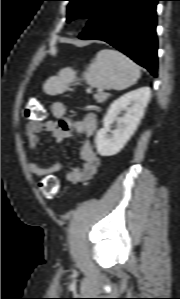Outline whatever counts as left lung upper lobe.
Listing matches in <instances>:
<instances>
[{
	"label": "left lung upper lobe",
	"instance_id": "left-lung-upper-lobe-1",
	"mask_svg": "<svg viewBox=\"0 0 180 299\" xmlns=\"http://www.w3.org/2000/svg\"><path fill=\"white\" fill-rule=\"evenodd\" d=\"M67 22L77 18H88L101 0H68Z\"/></svg>",
	"mask_w": 180,
	"mask_h": 299
}]
</instances>
